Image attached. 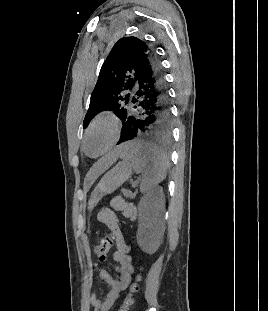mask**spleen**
I'll list each match as a JSON object with an SVG mask.
<instances>
[{"label": "spleen", "mask_w": 268, "mask_h": 311, "mask_svg": "<svg viewBox=\"0 0 268 311\" xmlns=\"http://www.w3.org/2000/svg\"><path fill=\"white\" fill-rule=\"evenodd\" d=\"M121 157L132 163L133 170L142 174L141 193L151 190L166 178L167 157L148 140H122L118 146Z\"/></svg>", "instance_id": "obj_1"}]
</instances>
